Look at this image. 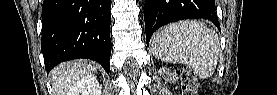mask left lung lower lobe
I'll list each match as a JSON object with an SVG mask.
<instances>
[{
	"label": "left lung lower lobe",
	"mask_w": 277,
	"mask_h": 95,
	"mask_svg": "<svg viewBox=\"0 0 277 95\" xmlns=\"http://www.w3.org/2000/svg\"><path fill=\"white\" fill-rule=\"evenodd\" d=\"M144 17L147 45L158 28L177 20L204 18L219 28L214 0H145Z\"/></svg>",
	"instance_id": "0a47b994"
}]
</instances>
